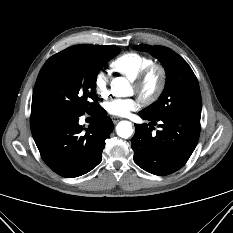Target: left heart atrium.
I'll use <instances>...</instances> for the list:
<instances>
[{
	"instance_id": "obj_1",
	"label": "left heart atrium",
	"mask_w": 233,
	"mask_h": 233,
	"mask_svg": "<svg viewBox=\"0 0 233 233\" xmlns=\"http://www.w3.org/2000/svg\"><path fill=\"white\" fill-rule=\"evenodd\" d=\"M140 107V100L136 97L115 98L104 103V109L113 116H126L129 112Z\"/></svg>"
}]
</instances>
